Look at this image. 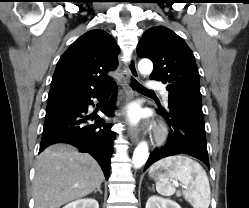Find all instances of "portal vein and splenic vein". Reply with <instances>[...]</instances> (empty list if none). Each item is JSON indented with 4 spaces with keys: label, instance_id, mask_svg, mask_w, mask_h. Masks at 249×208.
Masks as SVG:
<instances>
[{
    "label": "portal vein and splenic vein",
    "instance_id": "obj_1",
    "mask_svg": "<svg viewBox=\"0 0 249 208\" xmlns=\"http://www.w3.org/2000/svg\"><path fill=\"white\" fill-rule=\"evenodd\" d=\"M176 186H179V184L177 182L174 183Z\"/></svg>",
    "mask_w": 249,
    "mask_h": 208
}]
</instances>
